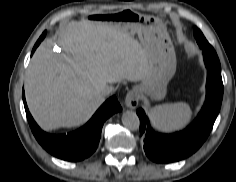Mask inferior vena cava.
Masks as SVG:
<instances>
[{
  "label": "inferior vena cava",
  "instance_id": "obj_1",
  "mask_svg": "<svg viewBox=\"0 0 236 182\" xmlns=\"http://www.w3.org/2000/svg\"><path fill=\"white\" fill-rule=\"evenodd\" d=\"M102 95L108 96L113 93V87L112 86H104L101 90Z\"/></svg>",
  "mask_w": 236,
  "mask_h": 182
}]
</instances>
